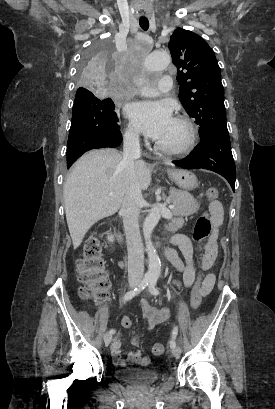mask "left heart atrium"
Wrapping results in <instances>:
<instances>
[{
  "mask_svg": "<svg viewBox=\"0 0 275 409\" xmlns=\"http://www.w3.org/2000/svg\"><path fill=\"white\" fill-rule=\"evenodd\" d=\"M127 111L152 138L159 136L173 120L170 106L161 101L133 103Z\"/></svg>",
  "mask_w": 275,
  "mask_h": 409,
  "instance_id": "left-heart-atrium-1",
  "label": "left heart atrium"
}]
</instances>
